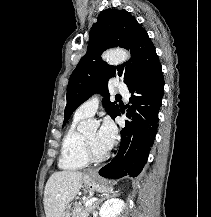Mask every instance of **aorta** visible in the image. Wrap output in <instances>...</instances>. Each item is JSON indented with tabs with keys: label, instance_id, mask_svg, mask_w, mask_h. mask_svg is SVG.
Segmentation results:
<instances>
[{
	"label": "aorta",
	"instance_id": "1",
	"mask_svg": "<svg viewBox=\"0 0 211 217\" xmlns=\"http://www.w3.org/2000/svg\"><path fill=\"white\" fill-rule=\"evenodd\" d=\"M102 58L110 64L118 65L130 58V54L123 49H114L110 51H106Z\"/></svg>",
	"mask_w": 211,
	"mask_h": 217
}]
</instances>
